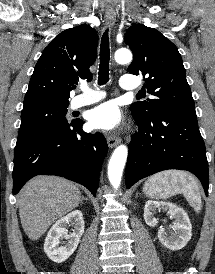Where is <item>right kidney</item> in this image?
<instances>
[{
    "label": "right kidney",
    "mask_w": 215,
    "mask_h": 274,
    "mask_svg": "<svg viewBox=\"0 0 215 274\" xmlns=\"http://www.w3.org/2000/svg\"><path fill=\"white\" fill-rule=\"evenodd\" d=\"M68 225L74 227L71 234H68ZM84 229L85 224L80 210L72 211L59 219L51 227L45 239L44 251L47 256L56 263L67 260L76 250Z\"/></svg>",
    "instance_id": "1"
}]
</instances>
